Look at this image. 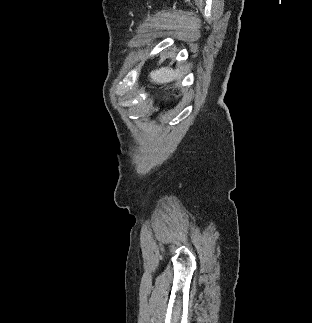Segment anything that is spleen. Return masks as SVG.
<instances>
[{"mask_svg":"<svg viewBox=\"0 0 312 323\" xmlns=\"http://www.w3.org/2000/svg\"><path fill=\"white\" fill-rule=\"evenodd\" d=\"M152 82H157V84H168V82H173L178 76V72H174L171 68H160V70H155L150 74Z\"/></svg>","mask_w":312,"mask_h":323,"instance_id":"obj_1","label":"spleen"}]
</instances>
